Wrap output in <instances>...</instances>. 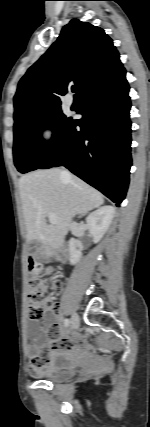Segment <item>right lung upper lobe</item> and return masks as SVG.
Here are the masks:
<instances>
[{
    "instance_id": "cb5924a9",
    "label": "right lung upper lobe",
    "mask_w": 150,
    "mask_h": 427,
    "mask_svg": "<svg viewBox=\"0 0 150 427\" xmlns=\"http://www.w3.org/2000/svg\"><path fill=\"white\" fill-rule=\"evenodd\" d=\"M119 53L103 29L72 19L58 40L33 64L18 84L15 122L60 106V95L73 82L78 96L118 68Z\"/></svg>"
}]
</instances>
